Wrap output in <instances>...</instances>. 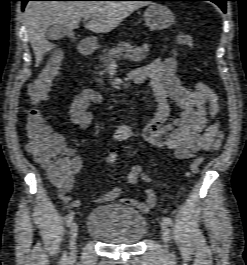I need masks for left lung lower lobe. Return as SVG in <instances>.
I'll return each mask as SVG.
<instances>
[{
    "label": "left lung lower lobe",
    "instance_id": "1",
    "mask_svg": "<svg viewBox=\"0 0 247 265\" xmlns=\"http://www.w3.org/2000/svg\"><path fill=\"white\" fill-rule=\"evenodd\" d=\"M150 1H206V0H150ZM217 4L223 12H226V1L228 0H207Z\"/></svg>",
    "mask_w": 247,
    "mask_h": 265
}]
</instances>
